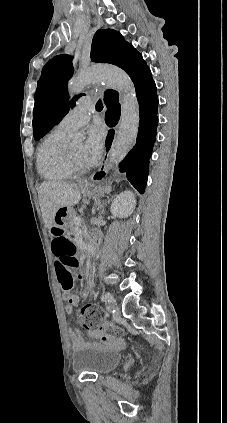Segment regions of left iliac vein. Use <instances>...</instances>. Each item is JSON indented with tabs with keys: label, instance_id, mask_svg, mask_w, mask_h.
Returning a JSON list of instances; mask_svg holds the SVG:
<instances>
[{
	"label": "left iliac vein",
	"instance_id": "1",
	"mask_svg": "<svg viewBox=\"0 0 227 423\" xmlns=\"http://www.w3.org/2000/svg\"><path fill=\"white\" fill-rule=\"evenodd\" d=\"M112 315L115 319L119 318L121 313H120V308L115 306L114 304H112Z\"/></svg>",
	"mask_w": 227,
	"mask_h": 423
}]
</instances>
